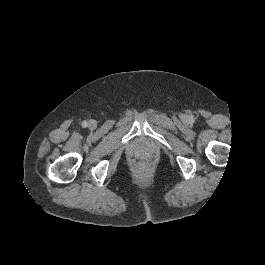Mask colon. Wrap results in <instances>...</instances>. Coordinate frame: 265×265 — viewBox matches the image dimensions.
Instances as JSON below:
<instances>
[{
	"label": "colon",
	"instance_id": "5ec220e1",
	"mask_svg": "<svg viewBox=\"0 0 265 265\" xmlns=\"http://www.w3.org/2000/svg\"><path fill=\"white\" fill-rule=\"evenodd\" d=\"M138 168H139L140 170H143V169H145V168H146V165H145V163H143V162H140V163L138 164Z\"/></svg>",
	"mask_w": 265,
	"mask_h": 265
}]
</instances>
